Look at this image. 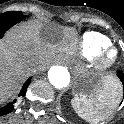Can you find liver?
Segmentation results:
<instances>
[{"label":"liver","instance_id":"6515ba94","mask_svg":"<svg viewBox=\"0 0 124 124\" xmlns=\"http://www.w3.org/2000/svg\"><path fill=\"white\" fill-rule=\"evenodd\" d=\"M76 43L75 32L70 28L30 23L11 31L0 43V104L14 93L24 77L35 73L30 70L32 63L41 70L56 53H73Z\"/></svg>","mask_w":124,"mask_h":124}]
</instances>
